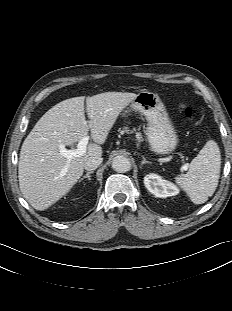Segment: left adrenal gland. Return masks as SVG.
Returning <instances> with one entry per match:
<instances>
[{"mask_svg":"<svg viewBox=\"0 0 232 311\" xmlns=\"http://www.w3.org/2000/svg\"><path fill=\"white\" fill-rule=\"evenodd\" d=\"M142 158H143V160H142V162H141V165H144V164H146V163H150L149 161H147V160L145 159L144 156H142Z\"/></svg>","mask_w":232,"mask_h":311,"instance_id":"1","label":"left adrenal gland"}]
</instances>
